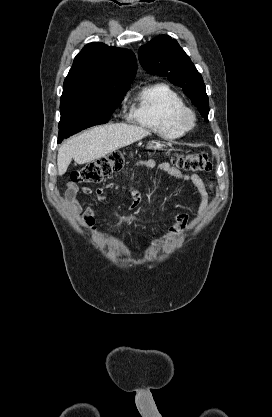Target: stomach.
Listing matches in <instances>:
<instances>
[{
    "label": "stomach",
    "instance_id": "stomach-1",
    "mask_svg": "<svg viewBox=\"0 0 272 417\" xmlns=\"http://www.w3.org/2000/svg\"><path fill=\"white\" fill-rule=\"evenodd\" d=\"M164 146H165V144L162 143L161 141H158V140H152V141L148 142V144H147L148 149H154V150L162 149Z\"/></svg>",
    "mask_w": 272,
    "mask_h": 417
}]
</instances>
